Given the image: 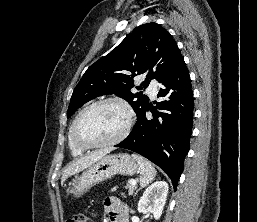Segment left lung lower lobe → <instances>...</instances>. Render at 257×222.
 <instances>
[{
	"instance_id": "obj_1",
	"label": "left lung lower lobe",
	"mask_w": 257,
	"mask_h": 222,
	"mask_svg": "<svg viewBox=\"0 0 257 222\" xmlns=\"http://www.w3.org/2000/svg\"><path fill=\"white\" fill-rule=\"evenodd\" d=\"M164 85L153 119L146 118L149 105L137 115L129 136L115 147L134 151L158 165L176 186L189 151L193 125L194 98L184 59H180L160 80Z\"/></svg>"
}]
</instances>
